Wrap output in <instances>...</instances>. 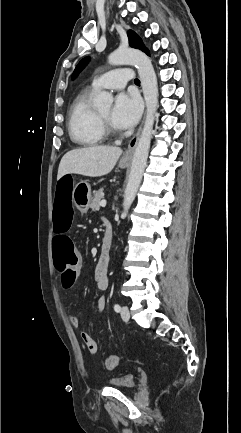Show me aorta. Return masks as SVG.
Wrapping results in <instances>:
<instances>
[{
  "mask_svg": "<svg viewBox=\"0 0 241 433\" xmlns=\"http://www.w3.org/2000/svg\"><path fill=\"white\" fill-rule=\"evenodd\" d=\"M108 61L111 65L132 64L137 67L146 102V118L135 148L131 171L124 192L122 217H126L136 197L147 164L158 104V84L151 60L141 51L130 48H119L109 55ZM112 102V95L105 91L99 92L93 101L94 105L99 109H108Z\"/></svg>",
  "mask_w": 241,
  "mask_h": 433,
  "instance_id": "aorta-1",
  "label": "aorta"
}]
</instances>
